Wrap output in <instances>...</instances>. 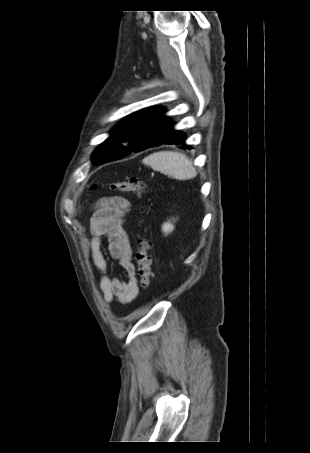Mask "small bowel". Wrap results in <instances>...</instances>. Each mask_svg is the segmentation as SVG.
Returning a JSON list of instances; mask_svg holds the SVG:
<instances>
[{
    "label": "small bowel",
    "mask_w": 310,
    "mask_h": 453,
    "mask_svg": "<svg viewBox=\"0 0 310 453\" xmlns=\"http://www.w3.org/2000/svg\"><path fill=\"white\" fill-rule=\"evenodd\" d=\"M130 203L121 196L101 199L91 218L90 231L92 237L88 243L91 260L101 274L98 286L103 294L105 303L117 301L121 304L132 302L139 287L136 269L132 261V245L126 229L125 216ZM107 237L110 256L118 260L126 273V280L108 274L107 261L101 251V239Z\"/></svg>",
    "instance_id": "obj_1"
}]
</instances>
